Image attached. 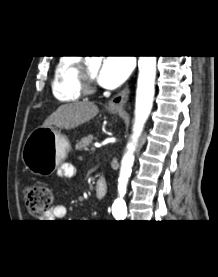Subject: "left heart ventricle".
Segmentation results:
<instances>
[{
  "label": "left heart ventricle",
  "mask_w": 218,
  "mask_h": 277,
  "mask_svg": "<svg viewBox=\"0 0 218 277\" xmlns=\"http://www.w3.org/2000/svg\"><path fill=\"white\" fill-rule=\"evenodd\" d=\"M87 69L89 71V73L95 77L97 70L99 68V65L97 63H87Z\"/></svg>",
  "instance_id": "1"
}]
</instances>
